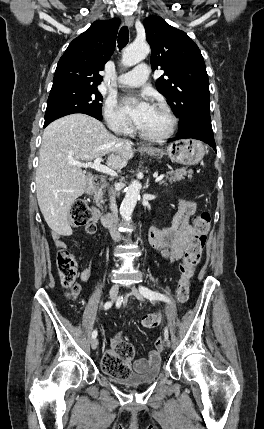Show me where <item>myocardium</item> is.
Listing matches in <instances>:
<instances>
[{"label":"myocardium","instance_id":"1","mask_svg":"<svg viewBox=\"0 0 264 429\" xmlns=\"http://www.w3.org/2000/svg\"><path fill=\"white\" fill-rule=\"evenodd\" d=\"M153 107L161 110L167 116L169 120V125L167 130L160 135H147L138 128V134L144 140L151 141V142H159V141L166 140L173 135L177 125V119L174 113L172 112V110L166 104L155 103Z\"/></svg>","mask_w":264,"mask_h":429}]
</instances>
